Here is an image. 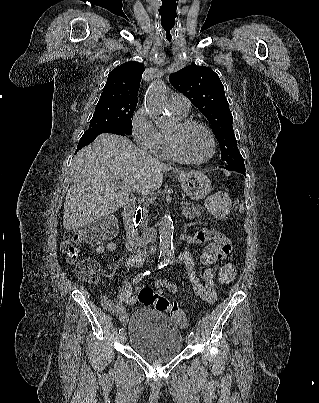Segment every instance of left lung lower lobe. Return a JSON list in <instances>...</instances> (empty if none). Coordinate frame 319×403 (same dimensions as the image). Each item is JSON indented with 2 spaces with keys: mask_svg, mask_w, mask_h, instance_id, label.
<instances>
[{
  "mask_svg": "<svg viewBox=\"0 0 319 403\" xmlns=\"http://www.w3.org/2000/svg\"><path fill=\"white\" fill-rule=\"evenodd\" d=\"M220 168H226L227 170L237 171V172L243 173L246 176L245 167H236V166H231V165H225V166H220Z\"/></svg>",
  "mask_w": 319,
  "mask_h": 403,
  "instance_id": "left-lung-lower-lobe-1",
  "label": "left lung lower lobe"
}]
</instances>
